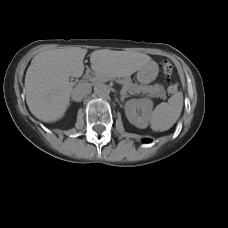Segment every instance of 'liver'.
Masks as SVG:
<instances>
[{"label": "liver", "instance_id": "1", "mask_svg": "<svg viewBox=\"0 0 228 228\" xmlns=\"http://www.w3.org/2000/svg\"><path fill=\"white\" fill-rule=\"evenodd\" d=\"M86 53V49L72 47L45 51L32 59L25 91L28 108L36 118L54 122L63 117L72 91L69 78L82 76ZM90 62L95 73L109 78H129L150 63L156 64L143 53L111 50L92 52Z\"/></svg>", "mask_w": 228, "mask_h": 228}]
</instances>
